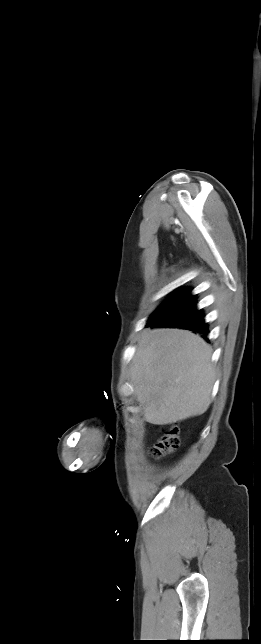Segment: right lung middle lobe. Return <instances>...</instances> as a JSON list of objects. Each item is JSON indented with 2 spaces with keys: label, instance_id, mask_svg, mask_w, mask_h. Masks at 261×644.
I'll return each mask as SVG.
<instances>
[{
  "label": "right lung middle lobe",
  "instance_id": "dd1d6c3e",
  "mask_svg": "<svg viewBox=\"0 0 261 644\" xmlns=\"http://www.w3.org/2000/svg\"><path fill=\"white\" fill-rule=\"evenodd\" d=\"M191 290L192 289H182L177 294L169 298L164 304L156 309V311L149 318V322L159 320L194 300L196 298V295L191 296Z\"/></svg>",
  "mask_w": 261,
  "mask_h": 644
}]
</instances>
